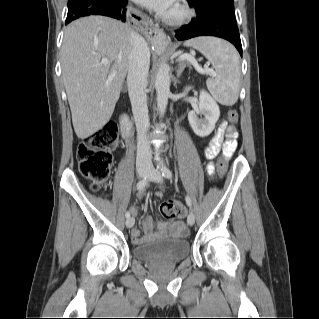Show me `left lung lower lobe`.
<instances>
[{"label": "left lung lower lobe", "instance_id": "1", "mask_svg": "<svg viewBox=\"0 0 319 319\" xmlns=\"http://www.w3.org/2000/svg\"><path fill=\"white\" fill-rule=\"evenodd\" d=\"M180 34H176L179 41L197 36H216L228 40L242 56V45L239 30L235 22L221 18L194 19L191 23L183 25Z\"/></svg>", "mask_w": 319, "mask_h": 319}]
</instances>
